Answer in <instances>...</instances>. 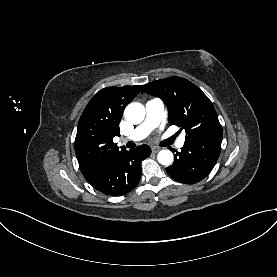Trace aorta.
Masks as SVG:
<instances>
[{"instance_id": "aorta-1", "label": "aorta", "mask_w": 277, "mask_h": 277, "mask_svg": "<svg viewBox=\"0 0 277 277\" xmlns=\"http://www.w3.org/2000/svg\"><path fill=\"white\" fill-rule=\"evenodd\" d=\"M125 119L132 124H139L144 120L145 108L141 103H130L124 111ZM162 165H170L173 162V154L170 150H161L157 156Z\"/></svg>"}]
</instances>
